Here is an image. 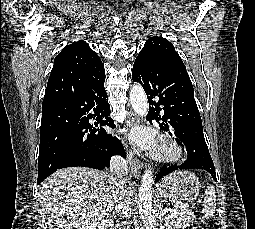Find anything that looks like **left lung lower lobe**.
<instances>
[{
  "label": "left lung lower lobe",
  "mask_w": 255,
  "mask_h": 229,
  "mask_svg": "<svg viewBox=\"0 0 255 229\" xmlns=\"http://www.w3.org/2000/svg\"><path fill=\"white\" fill-rule=\"evenodd\" d=\"M132 79L139 82L148 95L147 118L150 123L153 119L156 120L164 131L186 147L188 153L187 160L180 166L162 167L155 182L178 168L206 170L217 181L186 68L169 60L150 63L135 60ZM161 110L164 111L162 117L159 116Z\"/></svg>",
  "instance_id": "left-lung-lower-lobe-1"
}]
</instances>
